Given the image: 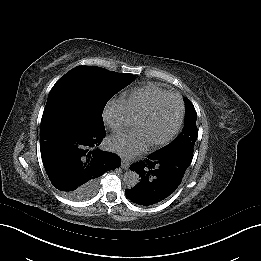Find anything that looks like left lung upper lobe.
Instances as JSON below:
<instances>
[{
  "label": "left lung upper lobe",
  "instance_id": "obj_1",
  "mask_svg": "<svg viewBox=\"0 0 261 261\" xmlns=\"http://www.w3.org/2000/svg\"><path fill=\"white\" fill-rule=\"evenodd\" d=\"M186 103V120L182 134L171 144L161 149L160 152H183L192 156L193 147L197 139L198 131L196 128L197 114L191 101L185 98Z\"/></svg>",
  "mask_w": 261,
  "mask_h": 261
}]
</instances>
